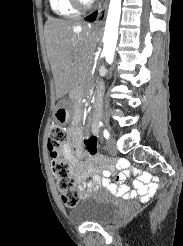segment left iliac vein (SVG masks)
<instances>
[{
    "instance_id": "obj_1",
    "label": "left iliac vein",
    "mask_w": 183,
    "mask_h": 246,
    "mask_svg": "<svg viewBox=\"0 0 183 246\" xmlns=\"http://www.w3.org/2000/svg\"><path fill=\"white\" fill-rule=\"evenodd\" d=\"M107 150L111 153V154H115L117 152V146H116V142L113 138H110L107 143Z\"/></svg>"
}]
</instances>
